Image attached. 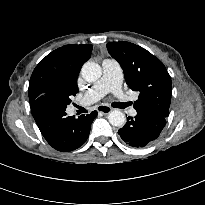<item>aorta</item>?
Listing matches in <instances>:
<instances>
[{"mask_svg":"<svg viewBox=\"0 0 205 205\" xmlns=\"http://www.w3.org/2000/svg\"><path fill=\"white\" fill-rule=\"evenodd\" d=\"M81 74L87 82H95L101 77L102 69L99 64L88 61L82 66ZM108 120L112 126L122 127L126 117L120 110H114L109 113Z\"/></svg>","mask_w":205,"mask_h":205,"instance_id":"aorta-1","label":"aorta"}]
</instances>
